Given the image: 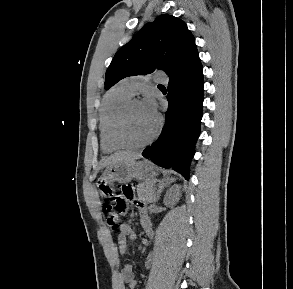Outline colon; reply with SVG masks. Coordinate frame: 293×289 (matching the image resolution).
Masks as SVG:
<instances>
[{
  "label": "colon",
  "instance_id": "1",
  "mask_svg": "<svg viewBox=\"0 0 293 289\" xmlns=\"http://www.w3.org/2000/svg\"><path fill=\"white\" fill-rule=\"evenodd\" d=\"M134 188L130 184H125L120 187L119 194L113 204H104L102 206L103 214L106 217L107 224L113 230L118 228V215L126 214L132 205L136 207L133 202Z\"/></svg>",
  "mask_w": 293,
  "mask_h": 289
}]
</instances>
